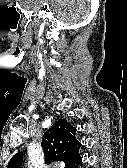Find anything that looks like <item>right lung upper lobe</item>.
Instances as JSON below:
<instances>
[{
    "instance_id": "right-lung-upper-lobe-1",
    "label": "right lung upper lobe",
    "mask_w": 127,
    "mask_h": 168,
    "mask_svg": "<svg viewBox=\"0 0 127 168\" xmlns=\"http://www.w3.org/2000/svg\"><path fill=\"white\" fill-rule=\"evenodd\" d=\"M76 129L66 120L58 119L53 126L47 130L42 137V148L45 156V163L62 161L65 168L72 166L80 159V142L77 141ZM23 154H15L8 163L7 168H20Z\"/></svg>"
}]
</instances>
